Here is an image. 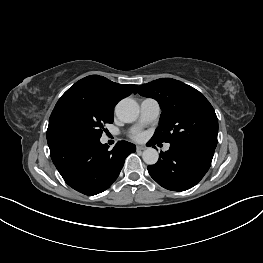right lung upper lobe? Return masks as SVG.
<instances>
[{
  "label": "right lung upper lobe",
  "mask_w": 263,
  "mask_h": 263,
  "mask_svg": "<svg viewBox=\"0 0 263 263\" xmlns=\"http://www.w3.org/2000/svg\"><path fill=\"white\" fill-rule=\"evenodd\" d=\"M134 89L135 85L133 84L122 85L112 82L103 76L90 75L76 82L58 101L69 96L79 97L114 112L117 102L129 96Z\"/></svg>",
  "instance_id": "right-lung-upper-lobe-1"
}]
</instances>
